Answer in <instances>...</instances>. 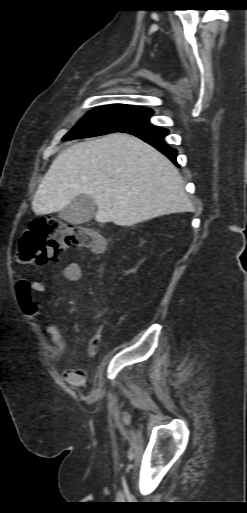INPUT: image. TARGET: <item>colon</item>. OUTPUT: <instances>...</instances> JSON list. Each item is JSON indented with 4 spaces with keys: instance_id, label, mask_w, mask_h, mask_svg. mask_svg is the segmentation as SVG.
<instances>
[{
    "instance_id": "colon-1",
    "label": "colon",
    "mask_w": 247,
    "mask_h": 513,
    "mask_svg": "<svg viewBox=\"0 0 247 513\" xmlns=\"http://www.w3.org/2000/svg\"><path fill=\"white\" fill-rule=\"evenodd\" d=\"M105 246V237L94 229L46 217L33 220L25 228L18 242L17 257L22 263L40 265L56 261L58 255L70 247H85L101 252ZM99 343V337L93 339V351L98 349Z\"/></svg>"
}]
</instances>
